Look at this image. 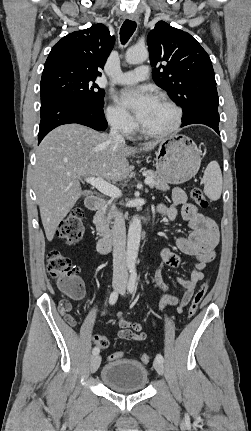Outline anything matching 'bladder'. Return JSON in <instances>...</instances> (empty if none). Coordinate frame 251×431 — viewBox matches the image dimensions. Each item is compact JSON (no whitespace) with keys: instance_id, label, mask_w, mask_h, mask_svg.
I'll return each instance as SVG.
<instances>
[{"instance_id":"obj_1","label":"bladder","mask_w":251,"mask_h":431,"mask_svg":"<svg viewBox=\"0 0 251 431\" xmlns=\"http://www.w3.org/2000/svg\"><path fill=\"white\" fill-rule=\"evenodd\" d=\"M100 378L113 391L134 393L147 385L148 370L137 360L117 359L102 368Z\"/></svg>"}]
</instances>
